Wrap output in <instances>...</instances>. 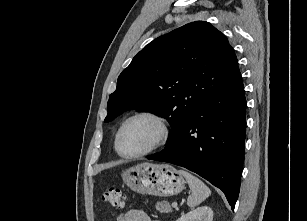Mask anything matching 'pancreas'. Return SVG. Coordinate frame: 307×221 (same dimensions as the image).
Instances as JSON below:
<instances>
[{
    "label": "pancreas",
    "mask_w": 307,
    "mask_h": 221,
    "mask_svg": "<svg viewBox=\"0 0 307 221\" xmlns=\"http://www.w3.org/2000/svg\"><path fill=\"white\" fill-rule=\"evenodd\" d=\"M156 209L161 213H171L172 212L171 205L165 201L157 202Z\"/></svg>",
    "instance_id": "1"
}]
</instances>
